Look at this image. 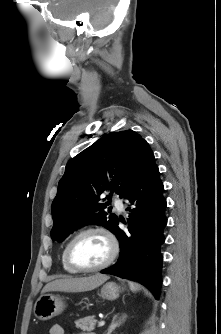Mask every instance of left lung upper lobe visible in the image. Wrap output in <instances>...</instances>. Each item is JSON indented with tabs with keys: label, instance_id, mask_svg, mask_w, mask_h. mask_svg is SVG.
I'll use <instances>...</instances> for the list:
<instances>
[{
	"label": "left lung upper lobe",
	"instance_id": "obj_1",
	"mask_svg": "<svg viewBox=\"0 0 221 334\" xmlns=\"http://www.w3.org/2000/svg\"><path fill=\"white\" fill-rule=\"evenodd\" d=\"M152 159L148 143L133 130L107 134L70 159L51 207L52 240L61 242L87 224L113 231L117 216L105 212L100 196L123 198Z\"/></svg>",
	"mask_w": 221,
	"mask_h": 334
}]
</instances>
